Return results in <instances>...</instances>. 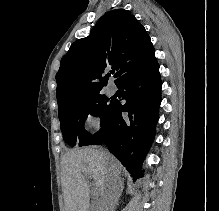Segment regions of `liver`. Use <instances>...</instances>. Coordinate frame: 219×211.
I'll list each match as a JSON object with an SVG mask.
<instances>
[{"label":"liver","instance_id":"6515ba94","mask_svg":"<svg viewBox=\"0 0 219 211\" xmlns=\"http://www.w3.org/2000/svg\"><path fill=\"white\" fill-rule=\"evenodd\" d=\"M124 167L109 151L99 149H72L62 159V189L66 211H90V193L94 187L89 185L85 175L93 177L96 193L101 195L95 211H104L106 201L112 199L116 189L112 179L123 173Z\"/></svg>","mask_w":219,"mask_h":211}]
</instances>
